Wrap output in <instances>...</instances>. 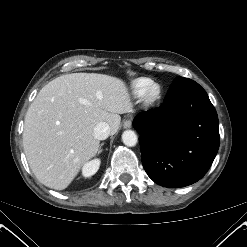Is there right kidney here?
I'll list each match as a JSON object with an SVG mask.
<instances>
[{
	"label": "right kidney",
	"mask_w": 247,
	"mask_h": 247,
	"mask_svg": "<svg viewBox=\"0 0 247 247\" xmlns=\"http://www.w3.org/2000/svg\"><path fill=\"white\" fill-rule=\"evenodd\" d=\"M100 159H93L87 162L82 168V175L84 177H91L93 176L100 167Z\"/></svg>",
	"instance_id": "ca27d5eb"
}]
</instances>
